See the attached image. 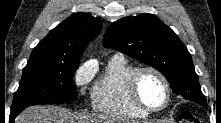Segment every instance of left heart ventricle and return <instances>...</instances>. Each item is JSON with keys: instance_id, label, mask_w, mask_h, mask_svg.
<instances>
[{"instance_id": "b2bd125f", "label": "left heart ventricle", "mask_w": 221, "mask_h": 123, "mask_svg": "<svg viewBox=\"0 0 221 123\" xmlns=\"http://www.w3.org/2000/svg\"><path fill=\"white\" fill-rule=\"evenodd\" d=\"M139 94L143 102L152 108L160 107L166 99V91L161 80L153 73H144L139 81Z\"/></svg>"}]
</instances>
